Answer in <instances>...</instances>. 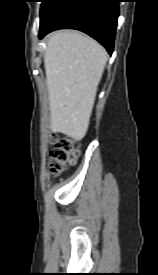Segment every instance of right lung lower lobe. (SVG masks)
I'll return each instance as SVG.
<instances>
[{"label":"right lung lower lobe","mask_w":158,"mask_h":275,"mask_svg":"<svg viewBox=\"0 0 158 275\" xmlns=\"http://www.w3.org/2000/svg\"><path fill=\"white\" fill-rule=\"evenodd\" d=\"M119 0H58L40 20L39 38L63 28L77 29L99 41L111 54Z\"/></svg>","instance_id":"98d812e1"}]
</instances>
